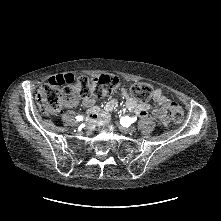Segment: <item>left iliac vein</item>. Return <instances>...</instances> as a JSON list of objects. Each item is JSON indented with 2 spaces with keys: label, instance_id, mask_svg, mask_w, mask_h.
Segmentation results:
<instances>
[{
  "label": "left iliac vein",
  "instance_id": "1",
  "mask_svg": "<svg viewBox=\"0 0 221 221\" xmlns=\"http://www.w3.org/2000/svg\"><path fill=\"white\" fill-rule=\"evenodd\" d=\"M121 131L123 133H133L136 131V127L135 126H130V127H120Z\"/></svg>",
  "mask_w": 221,
  "mask_h": 221
}]
</instances>
